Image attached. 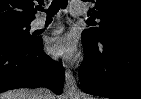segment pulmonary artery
I'll use <instances>...</instances> for the list:
<instances>
[{
  "mask_svg": "<svg viewBox=\"0 0 141 99\" xmlns=\"http://www.w3.org/2000/svg\"><path fill=\"white\" fill-rule=\"evenodd\" d=\"M84 12H85V10L81 4L75 3L71 6V14L74 16L81 15ZM33 28L34 29L51 30L53 28V25L52 24L47 25L45 22V18L39 17L33 21Z\"/></svg>",
  "mask_w": 141,
  "mask_h": 99,
  "instance_id": "1",
  "label": "pulmonary artery"
}]
</instances>
